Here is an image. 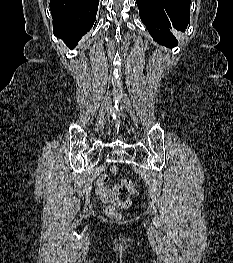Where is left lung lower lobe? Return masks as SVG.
<instances>
[{"label": "left lung lower lobe", "instance_id": "1", "mask_svg": "<svg viewBox=\"0 0 233 263\" xmlns=\"http://www.w3.org/2000/svg\"><path fill=\"white\" fill-rule=\"evenodd\" d=\"M139 15L149 33L159 44L174 47V29L184 32L190 24L191 0H136Z\"/></svg>", "mask_w": 233, "mask_h": 263}]
</instances>
